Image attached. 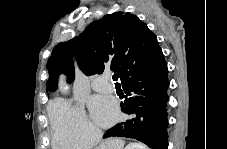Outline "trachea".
<instances>
[{"instance_id": "trachea-1", "label": "trachea", "mask_w": 227, "mask_h": 149, "mask_svg": "<svg viewBox=\"0 0 227 149\" xmlns=\"http://www.w3.org/2000/svg\"><path fill=\"white\" fill-rule=\"evenodd\" d=\"M112 79H113L114 82H116V84H118V83H117V81H118V75H117V74H114V75L112 76Z\"/></svg>"}]
</instances>
